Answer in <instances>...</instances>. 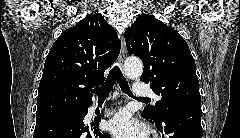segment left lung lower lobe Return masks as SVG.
<instances>
[{
    "mask_svg": "<svg viewBox=\"0 0 240 138\" xmlns=\"http://www.w3.org/2000/svg\"><path fill=\"white\" fill-rule=\"evenodd\" d=\"M169 138H202L201 101H184L169 106L160 119L154 120L142 112Z\"/></svg>",
    "mask_w": 240,
    "mask_h": 138,
    "instance_id": "obj_1",
    "label": "left lung lower lobe"
}]
</instances>
